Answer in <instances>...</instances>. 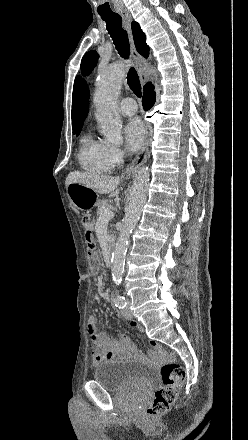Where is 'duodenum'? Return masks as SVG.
<instances>
[{
    "label": "duodenum",
    "mask_w": 248,
    "mask_h": 440,
    "mask_svg": "<svg viewBox=\"0 0 248 440\" xmlns=\"http://www.w3.org/2000/svg\"><path fill=\"white\" fill-rule=\"evenodd\" d=\"M115 251V245L114 243H109L108 248H107V263L110 264L111 263V258L112 255Z\"/></svg>",
    "instance_id": "1"
}]
</instances>
